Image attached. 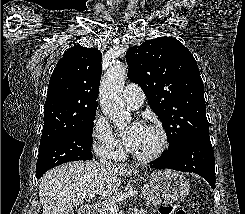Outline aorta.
I'll return each mask as SVG.
<instances>
[{
    "label": "aorta",
    "mask_w": 245,
    "mask_h": 214,
    "mask_svg": "<svg viewBox=\"0 0 245 214\" xmlns=\"http://www.w3.org/2000/svg\"><path fill=\"white\" fill-rule=\"evenodd\" d=\"M126 66L116 62L105 73L99 92L103 113L118 127H124L130 120L122 101V91L126 79Z\"/></svg>",
    "instance_id": "obj_1"
}]
</instances>
